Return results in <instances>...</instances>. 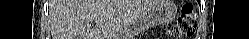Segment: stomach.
I'll return each instance as SVG.
<instances>
[{"instance_id":"1","label":"stomach","mask_w":249,"mask_h":39,"mask_svg":"<svg viewBox=\"0 0 249 39\" xmlns=\"http://www.w3.org/2000/svg\"><path fill=\"white\" fill-rule=\"evenodd\" d=\"M175 11L176 8L172 1L156 0L129 25L126 34L121 37L130 39L152 26L166 25L173 19Z\"/></svg>"}]
</instances>
